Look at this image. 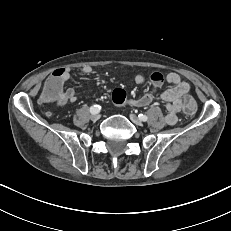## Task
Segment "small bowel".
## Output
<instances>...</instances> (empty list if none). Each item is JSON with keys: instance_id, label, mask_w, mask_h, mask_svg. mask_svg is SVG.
<instances>
[{"instance_id": "obj_1", "label": "small bowel", "mask_w": 231, "mask_h": 231, "mask_svg": "<svg viewBox=\"0 0 231 231\" xmlns=\"http://www.w3.org/2000/svg\"><path fill=\"white\" fill-rule=\"evenodd\" d=\"M64 71V78L59 83L60 91L59 96L56 100L58 105H64L68 102H75L78 99V91L73 88H68L64 90L66 82L69 80L71 75V68H60ZM80 71L84 74H91L92 68L90 66H83ZM152 83V90L143 94L138 98H132L127 101L131 106L135 107H145L148 106L154 99V95L158 88H160L164 80L169 84V88L164 90L160 98L164 103L165 109L167 110L166 122L169 125H174L177 122V115L179 112H183L180 108V95L189 94L190 85L189 83L183 81L179 74L175 72H169L165 77L160 73H153L150 77ZM134 81L138 85H144L146 83V77L142 74H137L134 77ZM86 89H91L87 87ZM190 95V94H189Z\"/></svg>"}]
</instances>
